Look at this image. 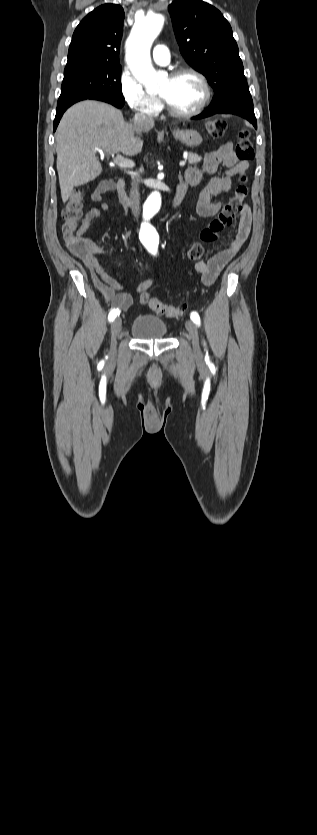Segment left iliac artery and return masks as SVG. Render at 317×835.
<instances>
[{
  "mask_svg": "<svg viewBox=\"0 0 317 835\" xmlns=\"http://www.w3.org/2000/svg\"><path fill=\"white\" fill-rule=\"evenodd\" d=\"M190 317L196 325H200V316L196 311H192ZM206 359H209L208 355L206 356Z\"/></svg>",
  "mask_w": 317,
  "mask_h": 835,
  "instance_id": "1",
  "label": "left iliac artery"
}]
</instances>
